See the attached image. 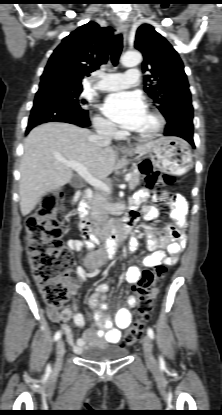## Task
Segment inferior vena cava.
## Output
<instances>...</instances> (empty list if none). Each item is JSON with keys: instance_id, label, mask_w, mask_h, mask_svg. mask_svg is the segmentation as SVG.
Masks as SVG:
<instances>
[{"instance_id": "1", "label": "inferior vena cava", "mask_w": 222, "mask_h": 415, "mask_svg": "<svg viewBox=\"0 0 222 415\" xmlns=\"http://www.w3.org/2000/svg\"><path fill=\"white\" fill-rule=\"evenodd\" d=\"M96 135H92L91 140L97 146L105 147L110 145L115 127L112 123L103 122L96 125ZM92 216L96 223L103 227L107 220L106 202L101 193H95L92 200ZM98 255L106 256L107 251L104 247L97 251Z\"/></svg>"}]
</instances>
